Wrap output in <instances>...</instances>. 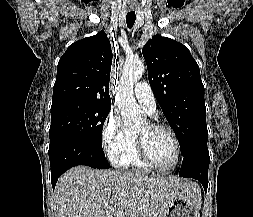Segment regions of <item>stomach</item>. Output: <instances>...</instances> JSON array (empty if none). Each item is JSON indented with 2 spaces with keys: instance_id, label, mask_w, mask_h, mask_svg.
<instances>
[{
  "instance_id": "0dacf381",
  "label": "stomach",
  "mask_w": 253,
  "mask_h": 217,
  "mask_svg": "<svg viewBox=\"0 0 253 217\" xmlns=\"http://www.w3.org/2000/svg\"><path fill=\"white\" fill-rule=\"evenodd\" d=\"M201 201L193 197L173 199L161 217H200Z\"/></svg>"
}]
</instances>
